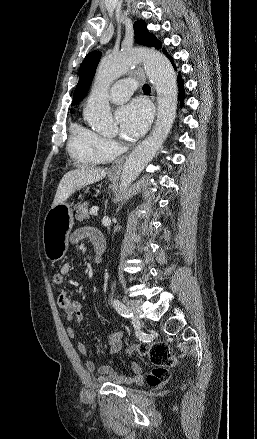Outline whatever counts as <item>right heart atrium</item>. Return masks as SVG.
I'll return each mask as SVG.
<instances>
[{
  "label": "right heart atrium",
  "mask_w": 257,
  "mask_h": 439,
  "mask_svg": "<svg viewBox=\"0 0 257 439\" xmlns=\"http://www.w3.org/2000/svg\"><path fill=\"white\" fill-rule=\"evenodd\" d=\"M98 150L105 159L112 157L116 150V142L110 138L99 137Z\"/></svg>",
  "instance_id": "right-heart-atrium-1"
}]
</instances>
